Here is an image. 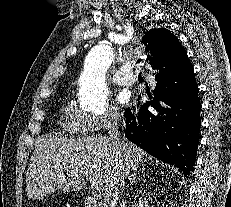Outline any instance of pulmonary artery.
<instances>
[{
  "label": "pulmonary artery",
  "mask_w": 231,
  "mask_h": 207,
  "mask_svg": "<svg viewBox=\"0 0 231 207\" xmlns=\"http://www.w3.org/2000/svg\"><path fill=\"white\" fill-rule=\"evenodd\" d=\"M112 79L117 85L128 86L135 81V76L131 73L129 66H124L115 73Z\"/></svg>",
  "instance_id": "1"
}]
</instances>
